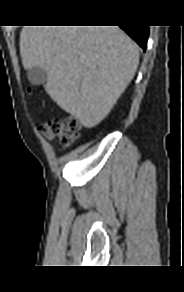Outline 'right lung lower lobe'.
<instances>
[{
	"mask_svg": "<svg viewBox=\"0 0 184 292\" xmlns=\"http://www.w3.org/2000/svg\"><path fill=\"white\" fill-rule=\"evenodd\" d=\"M140 47L146 49L149 29L147 26H120Z\"/></svg>",
	"mask_w": 184,
	"mask_h": 292,
	"instance_id": "98d812e1",
	"label": "right lung lower lobe"
}]
</instances>
